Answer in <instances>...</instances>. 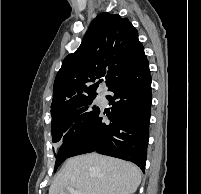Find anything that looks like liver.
Instances as JSON below:
<instances>
[{"label": "liver", "mask_w": 201, "mask_h": 194, "mask_svg": "<svg viewBox=\"0 0 201 194\" xmlns=\"http://www.w3.org/2000/svg\"><path fill=\"white\" fill-rule=\"evenodd\" d=\"M141 176V170L130 162L90 153L68 159L49 194H66L67 187L81 194H133Z\"/></svg>", "instance_id": "obj_1"}]
</instances>
